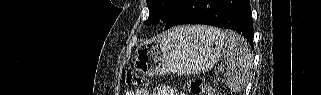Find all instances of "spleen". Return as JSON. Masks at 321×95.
Masks as SVG:
<instances>
[{
    "mask_svg": "<svg viewBox=\"0 0 321 95\" xmlns=\"http://www.w3.org/2000/svg\"><path fill=\"white\" fill-rule=\"evenodd\" d=\"M200 32L219 35L224 40L223 56L226 60V84L233 91L242 90L248 82L252 66L251 48L244 37L232 31L220 32L213 27H198Z\"/></svg>",
    "mask_w": 321,
    "mask_h": 95,
    "instance_id": "obj_1",
    "label": "spleen"
}]
</instances>
